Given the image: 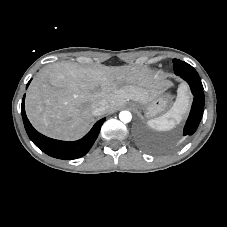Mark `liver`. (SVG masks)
<instances>
[{"instance_id": "1", "label": "liver", "mask_w": 227, "mask_h": 227, "mask_svg": "<svg viewBox=\"0 0 227 227\" xmlns=\"http://www.w3.org/2000/svg\"><path fill=\"white\" fill-rule=\"evenodd\" d=\"M170 83L159 74L131 66L82 68L71 62L43 68L30 84L25 101L27 117L41 133L64 140L83 136L94 121L92 107L106 101L115 112L127 101L147 103ZM183 86L179 94L184 93Z\"/></svg>"}]
</instances>
